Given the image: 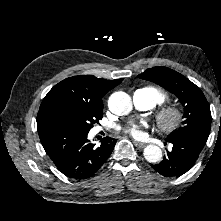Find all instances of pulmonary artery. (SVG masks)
I'll return each instance as SVG.
<instances>
[{
    "label": "pulmonary artery",
    "mask_w": 221,
    "mask_h": 221,
    "mask_svg": "<svg viewBox=\"0 0 221 221\" xmlns=\"http://www.w3.org/2000/svg\"><path fill=\"white\" fill-rule=\"evenodd\" d=\"M133 104L141 110H149L156 104L154 93L148 87L137 89L132 95ZM103 128L98 127L96 131H101Z\"/></svg>",
    "instance_id": "1"
}]
</instances>
